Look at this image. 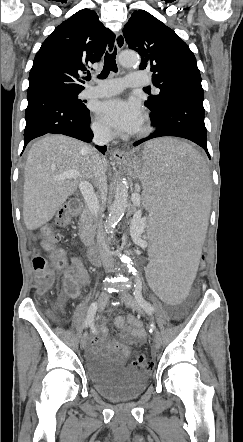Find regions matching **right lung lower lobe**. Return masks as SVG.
<instances>
[{
    "mask_svg": "<svg viewBox=\"0 0 243 442\" xmlns=\"http://www.w3.org/2000/svg\"><path fill=\"white\" fill-rule=\"evenodd\" d=\"M24 148L39 136L47 133L64 134L91 142L89 110H82L75 100L60 89L44 88L27 92ZM105 154L106 146H96Z\"/></svg>",
    "mask_w": 243,
    "mask_h": 442,
    "instance_id": "1",
    "label": "right lung lower lobe"
}]
</instances>
